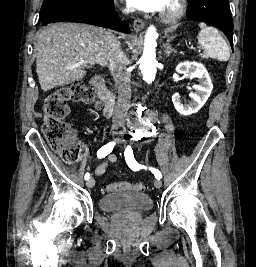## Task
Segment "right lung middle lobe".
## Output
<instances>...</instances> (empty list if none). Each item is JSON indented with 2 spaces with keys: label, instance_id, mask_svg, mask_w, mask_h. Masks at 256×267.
<instances>
[{
  "label": "right lung middle lobe",
  "instance_id": "obj_1",
  "mask_svg": "<svg viewBox=\"0 0 256 267\" xmlns=\"http://www.w3.org/2000/svg\"><path fill=\"white\" fill-rule=\"evenodd\" d=\"M104 1L107 0H44V3L41 7L40 16L44 15L47 11L56 8H63L71 12H78L90 4Z\"/></svg>",
  "mask_w": 256,
  "mask_h": 267
}]
</instances>
